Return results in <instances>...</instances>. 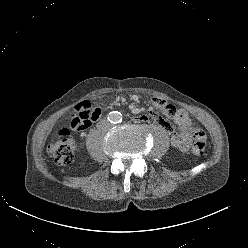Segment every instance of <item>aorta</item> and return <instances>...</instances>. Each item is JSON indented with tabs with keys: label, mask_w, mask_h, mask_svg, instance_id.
I'll list each match as a JSON object with an SVG mask.
<instances>
[{
	"label": "aorta",
	"mask_w": 248,
	"mask_h": 248,
	"mask_svg": "<svg viewBox=\"0 0 248 248\" xmlns=\"http://www.w3.org/2000/svg\"><path fill=\"white\" fill-rule=\"evenodd\" d=\"M109 118L112 122L118 123L122 120V115L118 111L111 112Z\"/></svg>",
	"instance_id": "aorta-1"
}]
</instances>
